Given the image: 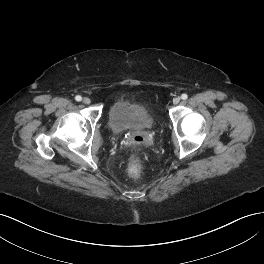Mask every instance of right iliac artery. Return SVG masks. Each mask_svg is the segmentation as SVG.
<instances>
[{"label": "right iliac artery", "mask_w": 264, "mask_h": 264, "mask_svg": "<svg viewBox=\"0 0 264 264\" xmlns=\"http://www.w3.org/2000/svg\"><path fill=\"white\" fill-rule=\"evenodd\" d=\"M75 100H76V101H81V100H82V97L79 96V95H77V96L75 97Z\"/></svg>", "instance_id": "82829eb1"}]
</instances>
